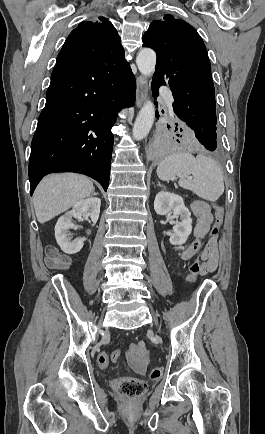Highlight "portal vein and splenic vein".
I'll return each mask as SVG.
<instances>
[{
  "mask_svg": "<svg viewBox=\"0 0 265 434\" xmlns=\"http://www.w3.org/2000/svg\"><path fill=\"white\" fill-rule=\"evenodd\" d=\"M188 180H192V176H189Z\"/></svg>",
  "mask_w": 265,
  "mask_h": 434,
  "instance_id": "1",
  "label": "portal vein and splenic vein"
}]
</instances>
